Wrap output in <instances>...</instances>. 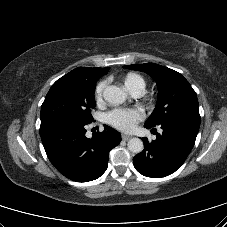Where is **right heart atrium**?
<instances>
[{
	"label": "right heart atrium",
	"mask_w": 227,
	"mask_h": 227,
	"mask_svg": "<svg viewBox=\"0 0 227 227\" xmlns=\"http://www.w3.org/2000/svg\"><path fill=\"white\" fill-rule=\"evenodd\" d=\"M106 81H100L94 90V98L97 102H101L103 98V92L106 87Z\"/></svg>",
	"instance_id": "obj_1"
}]
</instances>
